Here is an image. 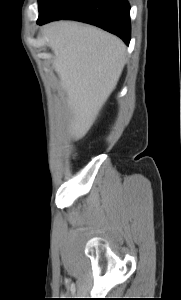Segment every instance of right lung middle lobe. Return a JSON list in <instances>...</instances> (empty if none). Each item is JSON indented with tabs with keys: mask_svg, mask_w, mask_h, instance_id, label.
<instances>
[{
	"mask_svg": "<svg viewBox=\"0 0 181 300\" xmlns=\"http://www.w3.org/2000/svg\"><path fill=\"white\" fill-rule=\"evenodd\" d=\"M59 1L60 0H38V3H39V17L44 16Z\"/></svg>",
	"mask_w": 181,
	"mask_h": 300,
	"instance_id": "right-lung-middle-lobe-1",
	"label": "right lung middle lobe"
}]
</instances>
